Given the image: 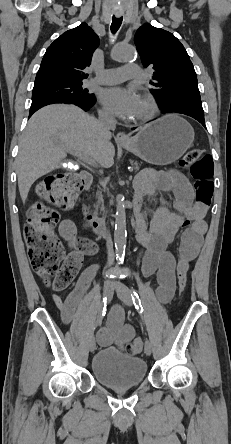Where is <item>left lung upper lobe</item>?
Returning a JSON list of instances; mask_svg holds the SVG:
<instances>
[{"label":"left lung upper lobe","mask_w":231,"mask_h":444,"mask_svg":"<svg viewBox=\"0 0 231 444\" xmlns=\"http://www.w3.org/2000/svg\"><path fill=\"white\" fill-rule=\"evenodd\" d=\"M144 67L154 69L150 89L162 111L204 115L197 76L182 43L170 32L142 25L134 36Z\"/></svg>","instance_id":"5c2ea615"}]
</instances>
